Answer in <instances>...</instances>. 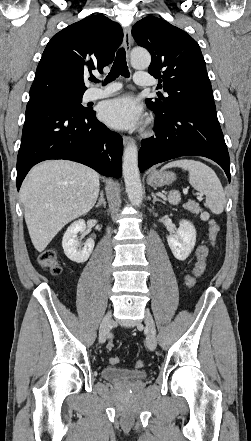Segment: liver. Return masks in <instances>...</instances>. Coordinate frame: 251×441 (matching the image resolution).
I'll return each instance as SVG.
<instances>
[{"instance_id": "obj_1", "label": "liver", "mask_w": 251, "mask_h": 441, "mask_svg": "<svg viewBox=\"0 0 251 441\" xmlns=\"http://www.w3.org/2000/svg\"><path fill=\"white\" fill-rule=\"evenodd\" d=\"M99 174L76 162L45 161L33 167L20 190L34 248L42 252L70 221L88 213L99 195Z\"/></svg>"}]
</instances>
